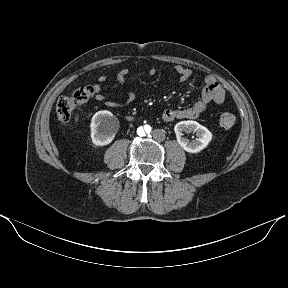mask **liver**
<instances>
[{
    "mask_svg": "<svg viewBox=\"0 0 288 288\" xmlns=\"http://www.w3.org/2000/svg\"><path fill=\"white\" fill-rule=\"evenodd\" d=\"M75 120L77 121V120H78V118L76 117V118H75Z\"/></svg>",
    "mask_w": 288,
    "mask_h": 288,
    "instance_id": "liver-1",
    "label": "liver"
}]
</instances>
